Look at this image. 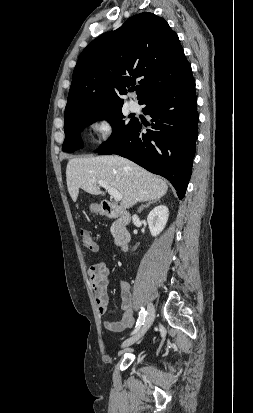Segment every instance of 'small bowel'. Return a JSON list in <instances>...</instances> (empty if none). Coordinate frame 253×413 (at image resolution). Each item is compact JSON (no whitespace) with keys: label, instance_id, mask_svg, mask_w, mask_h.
Here are the masks:
<instances>
[{"label":"small bowel","instance_id":"c3829d8e","mask_svg":"<svg viewBox=\"0 0 253 413\" xmlns=\"http://www.w3.org/2000/svg\"><path fill=\"white\" fill-rule=\"evenodd\" d=\"M89 279L95 296L98 313L103 316L108 311V292L111 271L104 260L93 263L89 268ZM122 290V316L119 321H104L105 329L112 332H123L134 324V310L131 297V285L126 279L121 280Z\"/></svg>","mask_w":253,"mask_h":413}]
</instances>
